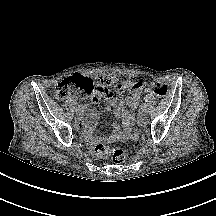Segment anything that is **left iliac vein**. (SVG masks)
<instances>
[{"label":"left iliac vein","instance_id":"4c4485c4","mask_svg":"<svg viewBox=\"0 0 216 216\" xmlns=\"http://www.w3.org/2000/svg\"><path fill=\"white\" fill-rule=\"evenodd\" d=\"M146 115H147V112L145 110V112H139V118H140V121L143 123L145 118H146Z\"/></svg>","mask_w":216,"mask_h":216}]
</instances>
